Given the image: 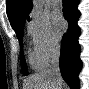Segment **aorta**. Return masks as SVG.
<instances>
[{
	"mask_svg": "<svg viewBox=\"0 0 89 89\" xmlns=\"http://www.w3.org/2000/svg\"><path fill=\"white\" fill-rule=\"evenodd\" d=\"M33 5L36 10H40L43 7L41 0H34Z\"/></svg>",
	"mask_w": 89,
	"mask_h": 89,
	"instance_id": "762f6f07",
	"label": "aorta"
}]
</instances>
